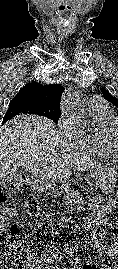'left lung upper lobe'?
Instances as JSON below:
<instances>
[{"mask_svg":"<svg viewBox=\"0 0 118 269\" xmlns=\"http://www.w3.org/2000/svg\"><path fill=\"white\" fill-rule=\"evenodd\" d=\"M103 92L104 97L111 102L113 105L118 107V98L112 96L106 88H100Z\"/></svg>","mask_w":118,"mask_h":269,"instance_id":"left-lung-upper-lobe-1","label":"left lung upper lobe"}]
</instances>
